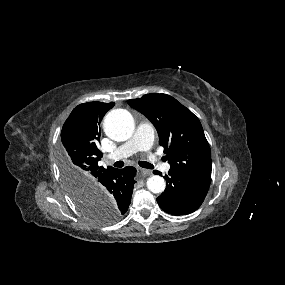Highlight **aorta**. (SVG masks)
Segmentation results:
<instances>
[{"instance_id":"762f6f07","label":"aorta","mask_w":285,"mask_h":285,"mask_svg":"<svg viewBox=\"0 0 285 285\" xmlns=\"http://www.w3.org/2000/svg\"><path fill=\"white\" fill-rule=\"evenodd\" d=\"M105 134L115 141H126L134 131V119L125 109H115L109 112L103 122ZM165 180L159 175H153L147 180V188L152 193H162L165 190Z\"/></svg>"}]
</instances>
